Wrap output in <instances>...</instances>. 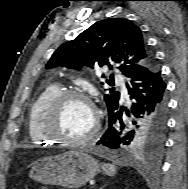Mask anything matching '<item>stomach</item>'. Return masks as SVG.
Masks as SVG:
<instances>
[{"mask_svg": "<svg viewBox=\"0 0 188 189\" xmlns=\"http://www.w3.org/2000/svg\"><path fill=\"white\" fill-rule=\"evenodd\" d=\"M99 172L98 162L82 151H68L33 163L30 178L44 183L79 188Z\"/></svg>", "mask_w": 188, "mask_h": 189, "instance_id": "0dacf381", "label": "stomach"}]
</instances>
